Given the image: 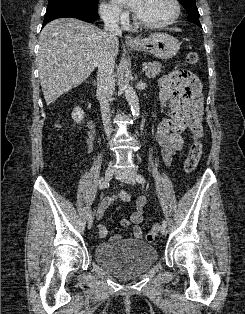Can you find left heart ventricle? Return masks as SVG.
<instances>
[{
  "label": "left heart ventricle",
  "instance_id": "b2bd125f",
  "mask_svg": "<svg viewBox=\"0 0 245 314\" xmlns=\"http://www.w3.org/2000/svg\"><path fill=\"white\" fill-rule=\"evenodd\" d=\"M173 12L172 0H141L135 14L142 21L158 22L168 19Z\"/></svg>",
  "mask_w": 245,
  "mask_h": 314
}]
</instances>
